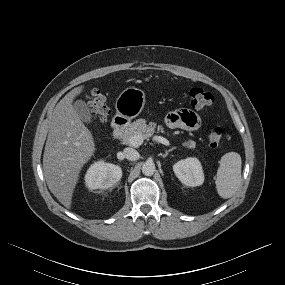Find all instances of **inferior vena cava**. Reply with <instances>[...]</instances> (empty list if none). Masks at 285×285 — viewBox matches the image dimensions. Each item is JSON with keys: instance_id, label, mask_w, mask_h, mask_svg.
<instances>
[{"instance_id": "1", "label": "inferior vena cava", "mask_w": 285, "mask_h": 285, "mask_svg": "<svg viewBox=\"0 0 285 285\" xmlns=\"http://www.w3.org/2000/svg\"><path fill=\"white\" fill-rule=\"evenodd\" d=\"M123 155L126 159L135 161L139 159V153L133 148H125L123 150Z\"/></svg>"}]
</instances>
